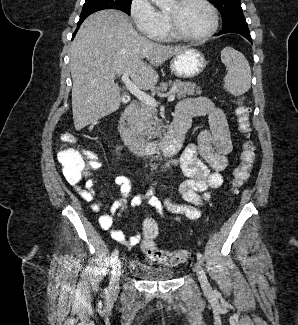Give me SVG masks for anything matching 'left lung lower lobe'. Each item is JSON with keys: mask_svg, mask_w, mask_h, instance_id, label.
<instances>
[{"mask_svg": "<svg viewBox=\"0 0 298 325\" xmlns=\"http://www.w3.org/2000/svg\"><path fill=\"white\" fill-rule=\"evenodd\" d=\"M225 33L240 34L252 43V38L250 36L248 25H247V22L245 19L234 21L233 23L222 27V30L216 35H221V34H225Z\"/></svg>", "mask_w": 298, "mask_h": 325, "instance_id": "left-lung-lower-lobe-1", "label": "left lung lower lobe"}]
</instances>
